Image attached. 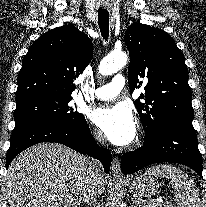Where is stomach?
<instances>
[{"instance_id":"stomach-1","label":"stomach","mask_w":206,"mask_h":207,"mask_svg":"<svg viewBox=\"0 0 206 207\" xmlns=\"http://www.w3.org/2000/svg\"><path fill=\"white\" fill-rule=\"evenodd\" d=\"M124 185L130 191L145 198L155 196L159 188V183L157 179L151 175H145V174L129 177L124 182Z\"/></svg>"}]
</instances>
